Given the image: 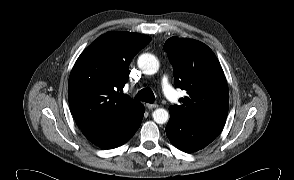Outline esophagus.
Here are the masks:
<instances>
[{
    "label": "esophagus",
    "instance_id": "obj_1",
    "mask_svg": "<svg viewBox=\"0 0 294 180\" xmlns=\"http://www.w3.org/2000/svg\"><path fill=\"white\" fill-rule=\"evenodd\" d=\"M146 106H147V108H149V109H155V108L158 107L157 104H149V103H147Z\"/></svg>",
    "mask_w": 294,
    "mask_h": 180
}]
</instances>
